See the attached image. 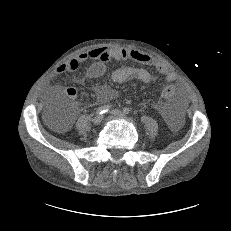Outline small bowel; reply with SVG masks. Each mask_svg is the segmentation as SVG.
<instances>
[{
    "instance_id": "c3829d8e",
    "label": "small bowel",
    "mask_w": 231,
    "mask_h": 231,
    "mask_svg": "<svg viewBox=\"0 0 231 231\" xmlns=\"http://www.w3.org/2000/svg\"><path fill=\"white\" fill-rule=\"evenodd\" d=\"M131 60L142 65L152 66L160 74H165L167 81H176V76L169 72L167 65L157 61L154 57L147 53L136 50H123L120 48L100 47L91 49L81 53L78 57L67 60L59 65L55 74L59 75L65 72H73L78 69L81 63L87 60H94V63L87 69L85 75L78 80L80 84H86L90 80L97 79L104 75L108 70V62L110 60ZM110 78L113 82L118 84H125L129 82H137L146 85L155 80V77L142 67H120L110 73ZM68 90L74 91V98L76 96V89L68 87L64 90L67 94ZM117 93L107 86H101L97 89V101L104 103L116 98ZM158 111L164 116L172 127H177L178 111L175 103H158ZM71 122V119L66 122L65 127Z\"/></svg>"
}]
</instances>
